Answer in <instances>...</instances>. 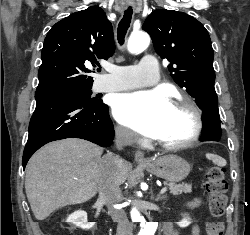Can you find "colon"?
<instances>
[{"instance_id": "5ec220e1", "label": "colon", "mask_w": 250, "mask_h": 235, "mask_svg": "<svg viewBox=\"0 0 250 235\" xmlns=\"http://www.w3.org/2000/svg\"><path fill=\"white\" fill-rule=\"evenodd\" d=\"M205 189L208 194V207L212 217L206 224L207 235H223L224 224L220 220L227 205L228 182L225 170L212 166L206 175Z\"/></svg>"}]
</instances>
